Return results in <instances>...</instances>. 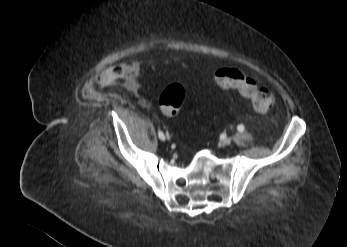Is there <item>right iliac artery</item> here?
Segmentation results:
<instances>
[{"instance_id":"82829eb1","label":"right iliac artery","mask_w":347,"mask_h":247,"mask_svg":"<svg viewBox=\"0 0 347 247\" xmlns=\"http://www.w3.org/2000/svg\"><path fill=\"white\" fill-rule=\"evenodd\" d=\"M158 136L161 140H165V136L161 130L158 131Z\"/></svg>"}]
</instances>
